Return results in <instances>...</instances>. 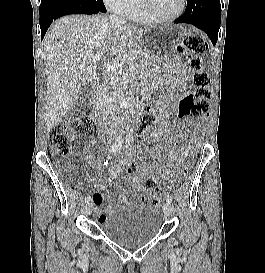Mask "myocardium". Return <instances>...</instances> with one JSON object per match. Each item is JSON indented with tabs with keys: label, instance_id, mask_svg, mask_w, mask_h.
<instances>
[{
	"label": "myocardium",
	"instance_id": "myocardium-1",
	"mask_svg": "<svg viewBox=\"0 0 265 273\" xmlns=\"http://www.w3.org/2000/svg\"><path fill=\"white\" fill-rule=\"evenodd\" d=\"M140 1H141V7H142L144 13L147 15V17L149 18V20L151 22H155V23H167V22H172V21L178 19L179 17H181L184 14V12L186 10V6H187V0H182L181 7L177 13H175L174 15L169 16V17H162V16H158L152 12V10L149 6V0H140Z\"/></svg>",
	"mask_w": 265,
	"mask_h": 273
}]
</instances>
